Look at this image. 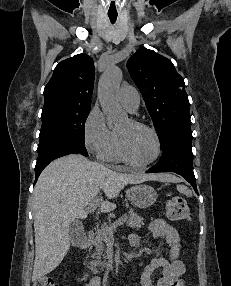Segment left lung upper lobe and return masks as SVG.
<instances>
[{"label": "left lung upper lobe", "instance_id": "1", "mask_svg": "<svg viewBox=\"0 0 231 286\" xmlns=\"http://www.w3.org/2000/svg\"><path fill=\"white\" fill-rule=\"evenodd\" d=\"M127 68L142 93L159 139L171 128L191 126L185 83L169 59L141 47L130 57Z\"/></svg>", "mask_w": 231, "mask_h": 286}]
</instances>
